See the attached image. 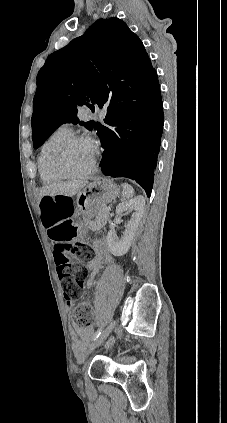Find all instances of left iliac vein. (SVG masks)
I'll return each mask as SVG.
<instances>
[{
    "label": "left iliac vein",
    "instance_id": "4c4485c4",
    "mask_svg": "<svg viewBox=\"0 0 227 423\" xmlns=\"http://www.w3.org/2000/svg\"><path fill=\"white\" fill-rule=\"evenodd\" d=\"M117 324L116 320L111 321V323L105 328V330L101 333V335L91 344L89 350L95 349L98 345H100L108 336L109 334L115 329Z\"/></svg>",
    "mask_w": 227,
    "mask_h": 423
}]
</instances>
